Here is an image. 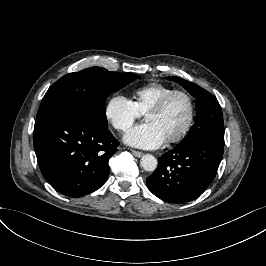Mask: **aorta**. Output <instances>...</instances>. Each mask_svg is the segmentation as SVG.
<instances>
[{
	"label": "aorta",
	"instance_id": "1",
	"mask_svg": "<svg viewBox=\"0 0 266 266\" xmlns=\"http://www.w3.org/2000/svg\"><path fill=\"white\" fill-rule=\"evenodd\" d=\"M141 167L147 171L152 172L157 168V159L151 154H145L140 160Z\"/></svg>",
	"mask_w": 266,
	"mask_h": 266
}]
</instances>
